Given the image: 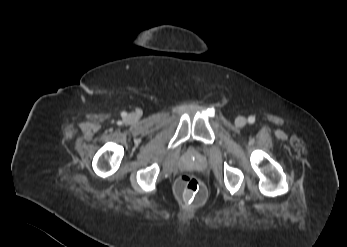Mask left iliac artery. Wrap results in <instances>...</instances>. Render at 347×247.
Masks as SVG:
<instances>
[{"instance_id":"obj_1","label":"left iliac artery","mask_w":347,"mask_h":247,"mask_svg":"<svg viewBox=\"0 0 347 247\" xmlns=\"http://www.w3.org/2000/svg\"><path fill=\"white\" fill-rule=\"evenodd\" d=\"M248 122H249L250 124H253V123L255 122V117H254V116H249V117H248Z\"/></svg>"}]
</instances>
